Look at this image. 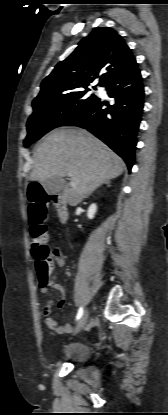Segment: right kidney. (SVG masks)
Returning a JSON list of instances; mask_svg holds the SVG:
<instances>
[{
	"mask_svg": "<svg viewBox=\"0 0 168 415\" xmlns=\"http://www.w3.org/2000/svg\"><path fill=\"white\" fill-rule=\"evenodd\" d=\"M97 211V205L96 204H91L90 207L88 208L87 211V216L89 219H93L95 216V213Z\"/></svg>",
	"mask_w": 168,
	"mask_h": 415,
	"instance_id": "ca27d5eb",
	"label": "right kidney"
}]
</instances>
